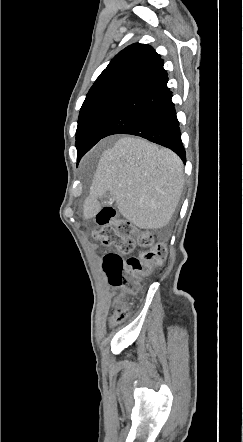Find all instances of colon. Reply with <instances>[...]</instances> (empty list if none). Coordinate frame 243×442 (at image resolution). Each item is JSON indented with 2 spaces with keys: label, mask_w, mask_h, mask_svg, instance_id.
Wrapping results in <instances>:
<instances>
[{
  "label": "colon",
  "mask_w": 243,
  "mask_h": 442,
  "mask_svg": "<svg viewBox=\"0 0 243 442\" xmlns=\"http://www.w3.org/2000/svg\"><path fill=\"white\" fill-rule=\"evenodd\" d=\"M96 222L98 229L93 237L104 246H112L121 254L131 253L138 245L142 252L123 260L115 254H106L103 258V270L108 283L120 288L121 297L117 301L116 320L122 321L127 316L128 295L137 292L140 280L149 275L152 268L168 256L165 244L155 243L149 232H138L131 222L116 217L115 209H101Z\"/></svg>",
  "instance_id": "colon-1"
}]
</instances>
